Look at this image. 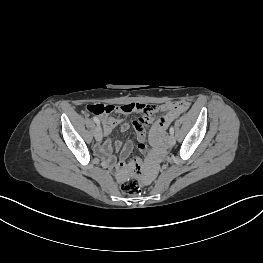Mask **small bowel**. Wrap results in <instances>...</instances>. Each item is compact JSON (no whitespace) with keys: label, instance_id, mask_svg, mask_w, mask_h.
Listing matches in <instances>:
<instances>
[{"label":"small bowel","instance_id":"1","mask_svg":"<svg viewBox=\"0 0 263 263\" xmlns=\"http://www.w3.org/2000/svg\"><path fill=\"white\" fill-rule=\"evenodd\" d=\"M139 104H145L140 102H135ZM115 107V106H114ZM177 106L174 103L168 102V107L164 110H160L158 113L161 119H154V114H140V118L132 122L138 140V149L140 151L146 150V139H147V129L150 125L153 124L150 128V141L151 149L148 151L149 156L144 159L145 169L144 174L146 176H151L154 172L156 163L160 161V156L163 154V130L167 128L178 115ZM169 115H172L171 117ZM100 120L103 124V130L105 135H109L112 130L116 127H120L121 131H127L130 127L128 121L114 118L109 116L107 113L100 115ZM162 141V142H161ZM161 142V143H160ZM122 148L120 160L116 165V172L119 178H124L128 174V166L126 164V159L133 151V144L130 141H127L123 146L120 140L116 141L113 145L110 139H106L102 144H99L97 147V153L102 156L107 161L114 160V151H118ZM131 170L133 175L140 176L143 173L142 162L139 159H134L131 162Z\"/></svg>","mask_w":263,"mask_h":263}]
</instances>
